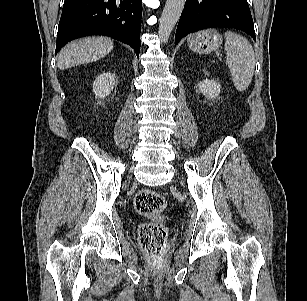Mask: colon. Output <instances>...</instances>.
Returning a JSON list of instances; mask_svg holds the SVG:
<instances>
[{
  "instance_id": "obj_1",
  "label": "colon",
  "mask_w": 307,
  "mask_h": 301,
  "mask_svg": "<svg viewBox=\"0 0 307 301\" xmlns=\"http://www.w3.org/2000/svg\"><path fill=\"white\" fill-rule=\"evenodd\" d=\"M134 207L140 215L150 219L138 228L141 248L152 256H159L166 248L168 236V230L163 223L165 198L157 191L144 189L136 194Z\"/></svg>"
}]
</instances>
